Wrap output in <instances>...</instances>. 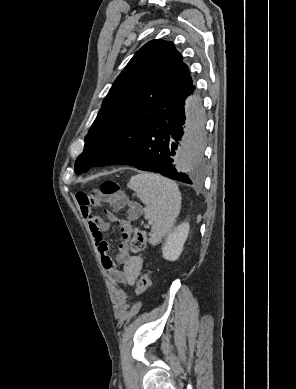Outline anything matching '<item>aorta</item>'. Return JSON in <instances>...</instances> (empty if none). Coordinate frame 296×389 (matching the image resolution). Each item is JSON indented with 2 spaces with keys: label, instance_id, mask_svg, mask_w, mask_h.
<instances>
[{
  "label": "aorta",
  "instance_id": "762f6f07",
  "mask_svg": "<svg viewBox=\"0 0 296 389\" xmlns=\"http://www.w3.org/2000/svg\"><path fill=\"white\" fill-rule=\"evenodd\" d=\"M186 100L190 107V115L196 118L199 115V107L196 105L201 100V95L198 91H189L186 95ZM190 117L186 114V129L190 125ZM202 134L199 130L185 131L183 142L177 151L174 165L180 171L189 170L195 162H203L204 151L201 148Z\"/></svg>",
  "mask_w": 296,
  "mask_h": 389
}]
</instances>
